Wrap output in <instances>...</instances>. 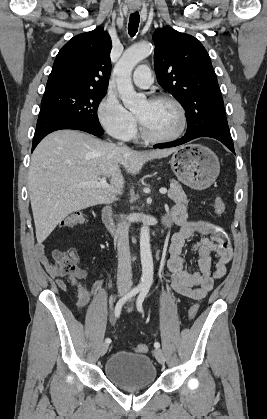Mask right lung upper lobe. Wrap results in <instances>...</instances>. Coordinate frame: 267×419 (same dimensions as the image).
<instances>
[{
  "label": "right lung upper lobe",
  "instance_id": "cb5924a9",
  "mask_svg": "<svg viewBox=\"0 0 267 419\" xmlns=\"http://www.w3.org/2000/svg\"><path fill=\"white\" fill-rule=\"evenodd\" d=\"M111 48V38L103 28L70 39L56 56L45 92L106 91L111 74Z\"/></svg>",
  "mask_w": 267,
  "mask_h": 419
}]
</instances>
